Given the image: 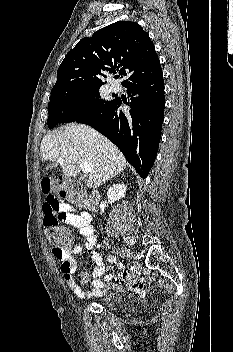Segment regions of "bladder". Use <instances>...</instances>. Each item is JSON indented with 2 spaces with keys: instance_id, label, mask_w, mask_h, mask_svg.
<instances>
[{
  "instance_id": "obj_1",
  "label": "bladder",
  "mask_w": 233,
  "mask_h": 352,
  "mask_svg": "<svg viewBox=\"0 0 233 352\" xmlns=\"http://www.w3.org/2000/svg\"><path fill=\"white\" fill-rule=\"evenodd\" d=\"M102 304L110 310H116L122 304V297L115 291L107 292L103 295Z\"/></svg>"
}]
</instances>
